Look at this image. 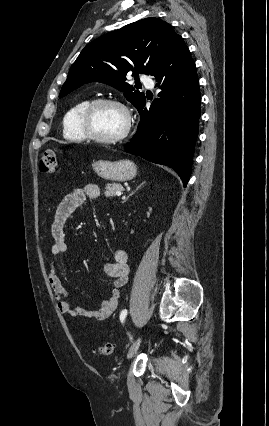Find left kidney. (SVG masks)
Listing matches in <instances>:
<instances>
[{
  "label": "left kidney",
  "mask_w": 269,
  "mask_h": 426,
  "mask_svg": "<svg viewBox=\"0 0 269 426\" xmlns=\"http://www.w3.org/2000/svg\"><path fill=\"white\" fill-rule=\"evenodd\" d=\"M151 211H152V208H149V212L147 213L148 216H150Z\"/></svg>",
  "instance_id": "obj_1"
}]
</instances>
